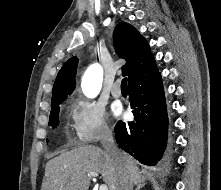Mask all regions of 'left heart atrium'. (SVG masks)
<instances>
[{
  "label": "left heart atrium",
  "instance_id": "39dd6f15",
  "mask_svg": "<svg viewBox=\"0 0 221 190\" xmlns=\"http://www.w3.org/2000/svg\"><path fill=\"white\" fill-rule=\"evenodd\" d=\"M113 113H114L115 115H120V114L122 113L121 107H120L119 105H115V106L113 107Z\"/></svg>",
  "mask_w": 221,
  "mask_h": 190
}]
</instances>
